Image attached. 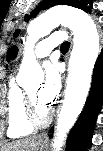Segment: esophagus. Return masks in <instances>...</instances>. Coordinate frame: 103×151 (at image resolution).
Returning <instances> with one entry per match:
<instances>
[{
  "mask_svg": "<svg viewBox=\"0 0 103 151\" xmlns=\"http://www.w3.org/2000/svg\"><path fill=\"white\" fill-rule=\"evenodd\" d=\"M46 139V135L40 137V140Z\"/></svg>",
  "mask_w": 103,
  "mask_h": 151,
  "instance_id": "1",
  "label": "esophagus"
}]
</instances>
